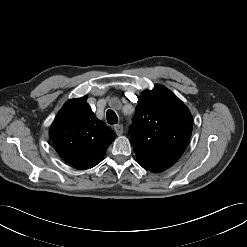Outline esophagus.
Returning <instances> with one entry per match:
<instances>
[{
    "mask_svg": "<svg viewBox=\"0 0 247 247\" xmlns=\"http://www.w3.org/2000/svg\"><path fill=\"white\" fill-rule=\"evenodd\" d=\"M114 131L118 136H120L123 133V125L122 124L115 125Z\"/></svg>",
    "mask_w": 247,
    "mask_h": 247,
    "instance_id": "esophagus-1",
    "label": "esophagus"
}]
</instances>
